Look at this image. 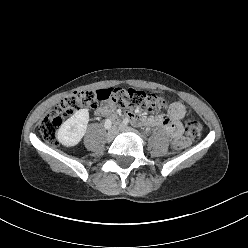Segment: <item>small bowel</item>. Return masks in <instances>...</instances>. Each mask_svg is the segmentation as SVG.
<instances>
[{"instance_id":"c3829d8e","label":"small bowel","mask_w":248,"mask_h":248,"mask_svg":"<svg viewBox=\"0 0 248 248\" xmlns=\"http://www.w3.org/2000/svg\"><path fill=\"white\" fill-rule=\"evenodd\" d=\"M114 111L112 105H101L95 109V114L98 116H108L111 115ZM185 116V107L180 102L173 103L167 113L157 114L154 117L146 118L141 117L136 114H130L129 118L133 121L141 122L145 125H153L163 127L166 133L171 138L180 137L183 133V126L181 120ZM114 121H117L113 117Z\"/></svg>"}]
</instances>
